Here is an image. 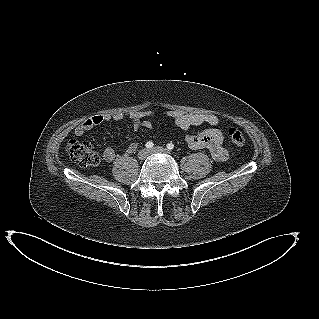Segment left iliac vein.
<instances>
[{
	"label": "left iliac vein",
	"instance_id": "left-iliac-vein-1",
	"mask_svg": "<svg viewBox=\"0 0 319 319\" xmlns=\"http://www.w3.org/2000/svg\"><path fill=\"white\" fill-rule=\"evenodd\" d=\"M151 154H155V153H163V154H169L170 152L164 148V147H154L153 149H151L149 151Z\"/></svg>",
	"mask_w": 319,
	"mask_h": 319
}]
</instances>
